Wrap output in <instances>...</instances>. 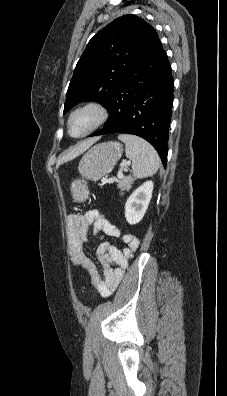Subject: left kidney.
Returning a JSON list of instances; mask_svg holds the SVG:
<instances>
[{
    "label": "left kidney",
    "instance_id": "left-kidney-1",
    "mask_svg": "<svg viewBox=\"0 0 227 396\" xmlns=\"http://www.w3.org/2000/svg\"><path fill=\"white\" fill-rule=\"evenodd\" d=\"M153 182L146 181L129 196L125 204V218L131 225L144 217L152 198Z\"/></svg>",
    "mask_w": 227,
    "mask_h": 396
}]
</instances>
